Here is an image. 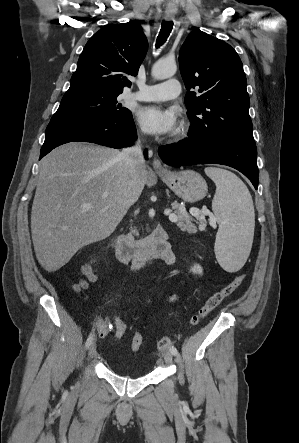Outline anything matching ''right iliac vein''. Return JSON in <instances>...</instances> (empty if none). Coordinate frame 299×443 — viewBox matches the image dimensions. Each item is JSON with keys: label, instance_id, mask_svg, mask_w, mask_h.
<instances>
[{"label": "right iliac vein", "instance_id": "63e3f726", "mask_svg": "<svg viewBox=\"0 0 299 443\" xmlns=\"http://www.w3.org/2000/svg\"><path fill=\"white\" fill-rule=\"evenodd\" d=\"M96 354V345L92 344L89 348V357H93Z\"/></svg>", "mask_w": 299, "mask_h": 443}]
</instances>
